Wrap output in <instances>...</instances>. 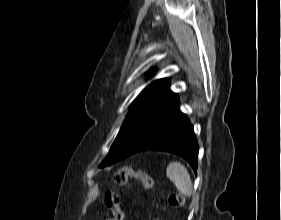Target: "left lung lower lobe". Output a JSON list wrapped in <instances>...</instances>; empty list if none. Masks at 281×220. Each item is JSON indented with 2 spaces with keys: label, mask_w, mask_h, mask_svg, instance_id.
Masks as SVG:
<instances>
[{
  "label": "left lung lower lobe",
  "mask_w": 281,
  "mask_h": 220,
  "mask_svg": "<svg viewBox=\"0 0 281 220\" xmlns=\"http://www.w3.org/2000/svg\"><path fill=\"white\" fill-rule=\"evenodd\" d=\"M166 151L184 158L197 173L199 147L193 126L179 109V101L170 109L150 140L139 150Z\"/></svg>",
  "instance_id": "left-lung-lower-lobe-1"
}]
</instances>
